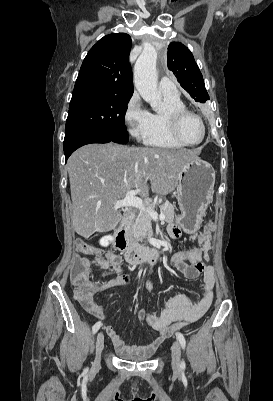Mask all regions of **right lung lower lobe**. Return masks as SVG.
<instances>
[{
    "label": "right lung lower lobe",
    "instance_id": "98d812e1",
    "mask_svg": "<svg viewBox=\"0 0 273 401\" xmlns=\"http://www.w3.org/2000/svg\"><path fill=\"white\" fill-rule=\"evenodd\" d=\"M112 140L91 133L73 134L64 139L65 160L79 147L90 143H108Z\"/></svg>",
    "mask_w": 273,
    "mask_h": 401
}]
</instances>
